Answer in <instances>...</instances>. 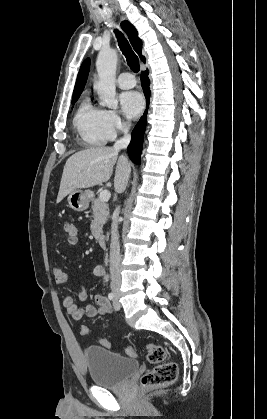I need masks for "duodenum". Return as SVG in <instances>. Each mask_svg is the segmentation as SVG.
<instances>
[{
  "label": "duodenum",
  "mask_w": 267,
  "mask_h": 419,
  "mask_svg": "<svg viewBox=\"0 0 267 419\" xmlns=\"http://www.w3.org/2000/svg\"><path fill=\"white\" fill-rule=\"evenodd\" d=\"M98 242L100 244V246H105L106 245V236L104 234H100L98 237Z\"/></svg>",
  "instance_id": "410a0bca"
}]
</instances>
